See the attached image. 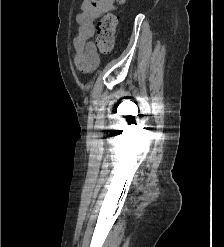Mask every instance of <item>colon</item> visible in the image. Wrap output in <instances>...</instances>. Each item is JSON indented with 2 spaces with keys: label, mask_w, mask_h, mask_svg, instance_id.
Segmentation results:
<instances>
[{
  "label": "colon",
  "mask_w": 224,
  "mask_h": 247,
  "mask_svg": "<svg viewBox=\"0 0 224 247\" xmlns=\"http://www.w3.org/2000/svg\"><path fill=\"white\" fill-rule=\"evenodd\" d=\"M124 2V0H119ZM118 18L115 13H107L97 24L96 46L101 54H108L114 47Z\"/></svg>",
  "instance_id": "colon-1"
}]
</instances>
